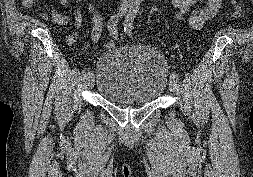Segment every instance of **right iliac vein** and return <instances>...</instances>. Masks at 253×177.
<instances>
[{"label":"right iliac vein","instance_id":"right-iliac-vein-1","mask_svg":"<svg viewBox=\"0 0 253 177\" xmlns=\"http://www.w3.org/2000/svg\"><path fill=\"white\" fill-rule=\"evenodd\" d=\"M94 84H95V79H94V76H91L88 78V81H87V85L90 89H92L94 87Z\"/></svg>","mask_w":253,"mask_h":177}]
</instances>
